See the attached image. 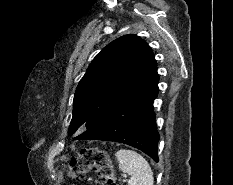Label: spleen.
<instances>
[{"label": "spleen", "instance_id": "obj_1", "mask_svg": "<svg viewBox=\"0 0 233 185\" xmlns=\"http://www.w3.org/2000/svg\"><path fill=\"white\" fill-rule=\"evenodd\" d=\"M115 156L119 169L130 175L128 185H153V171L143 156L127 149L118 150Z\"/></svg>", "mask_w": 233, "mask_h": 185}]
</instances>
